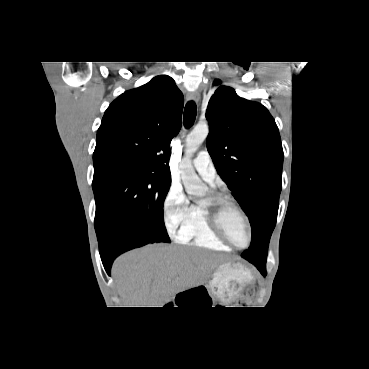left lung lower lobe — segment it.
Returning <instances> with one entry per match:
<instances>
[{
  "label": "left lung lower lobe",
  "instance_id": "left-lung-lower-lobe-1",
  "mask_svg": "<svg viewBox=\"0 0 369 369\" xmlns=\"http://www.w3.org/2000/svg\"><path fill=\"white\" fill-rule=\"evenodd\" d=\"M249 262L256 266L264 277L266 276V262L260 260H250Z\"/></svg>",
  "mask_w": 369,
  "mask_h": 369
}]
</instances>
